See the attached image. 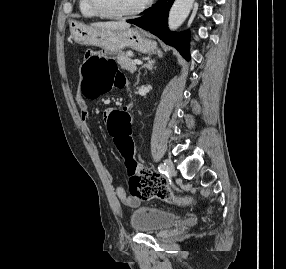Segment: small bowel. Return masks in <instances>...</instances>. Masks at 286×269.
I'll return each instance as SVG.
<instances>
[{
  "label": "small bowel",
  "instance_id": "obj_1",
  "mask_svg": "<svg viewBox=\"0 0 286 269\" xmlns=\"http://www.w3.org/2000/svg\"><path fill=\"white\" fill-rule=\"evenodd\" d=\"M123 86H124V82H123L121 87H123ZM78 105L80 108V119L85 126H88V122L90 119V113L88 110L87 103L84 101V99L82 97H79L78 98ZM130 108H131V106L128 105L127 111H130ZM110 109H112V108H106L105 111H101L100 123H107L108 122L107 116H108V113H110ZM106 178L110 184L113 182V176L108 171L106 172ZM114 193H115L117 199L120 200L122 203H124L127 206L137 207L141 202V198H138V197H135L132 195H128L123 187H120V186L116 187L114 189Z\"/></svg>",
  "mask_w": 286,
  "mask_h": 269
}]
</instances>
